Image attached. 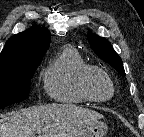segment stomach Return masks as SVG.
<instances>
[{
  "label": "stomach",
  "mask_w": 144,
  "mask_h": 137,
  "mask_svg": "<svg viewBox=\"0 0 144 137\" xmlns=\"http://www.w3.org/2000/svg\"><path fill=\"white\" fill-rule=\"evenodd\" d=\"M107 125L101 121L83 125L75 130L70 137H105Z\"/></svg>",
  "instance_id": "stomach-1"
}]
</instances>
